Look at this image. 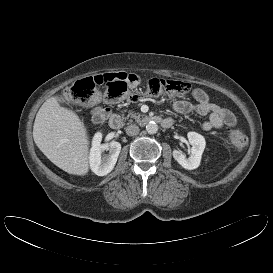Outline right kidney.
<instances>
[{
    "label": "right kidney",
    "instance_id": "1",
    "mask_svg": "<svg viewBox=\"0 0 273 273\" xmlns=\"http://www.w3.org/2000/svg\"><path fill=\"white\" fill-rule=\"evenodd\" d=\"M101 140L102 134L96 133L92 141L89 163L96 175L105 176L113 170L121 151V144L116 141L100 144ZM105 151H109V154H103Z\"/></svg>",
    "mask_w": 273,
    "mask_h": 273
}]
</instances>
